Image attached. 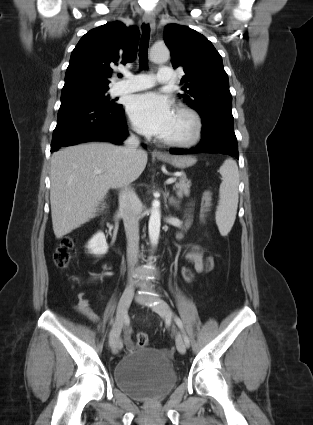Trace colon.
Returning a JSON list of instances; mask_svg holds the SVG:
<instances>
[{
    "mask_svg": "<svg viewBox=\"0 0 313 425\" xmlns=\"http://www.w3.org/2000/svg\"><path fill=\"white\" fill-rule=\"evenodd\" d=\"M75 247L76 239L74 237H65L61 240L53 254L54 263L58 268L64 269L68 267L75 252ZM213 267L214 258L210 256L205 260L204 270L207 272L210 271ZM196 275L197 273L194 269L184 267L180 272V281L184 284L191 283L195 279ZM136 344L139 347H147L149 344L148 335L145 332L138 333L136 336Z\"/></svg>",
    "mask_w": 313,
    "mask_h": 425,
    "instance_id": "colon-1",
    "label": "colon"
}]
</instances>
